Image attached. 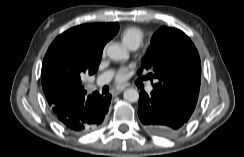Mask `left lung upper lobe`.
I'll return each mask as SVG.
<instances>
[{"label": "left lung upper lobe", "mask_w": 244, "mask_h": 157, "mask_svg": "<svg viewBox=\"0 0 244 157\" xmlns=\"http://www.w3.org/2000/svg\"><path fill=\"white\" fill-rule=\"evenodd\" d=\"M142 66L152 71L147 78L156 79L154 89L184 112L193 114L200 90L201 64L196 47L184 32L161 27L152 36Z\"/></svg>", "instance_id": "obj_1"}]
</instances>
